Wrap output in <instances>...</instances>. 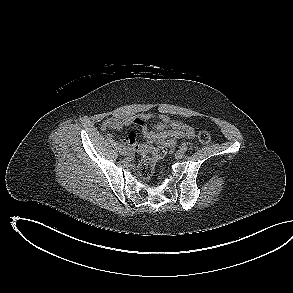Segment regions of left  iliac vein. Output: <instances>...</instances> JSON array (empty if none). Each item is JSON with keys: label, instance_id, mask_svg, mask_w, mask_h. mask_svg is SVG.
Listing matches in <instances>:
<instances>
[{"label": "left iliac vein", "instance_id": "left-iliac-vein-1", "mask_svg": "<svg viewBox=\"0 0 293 293\" xmlns=\"http://www.w3.org/2000/svg\"><path fill=\"white\" fill-rule=\"evenodd\" d=\"M184 156V152L182 150H178L175 154L176 159H182Z\"/></svg>", "mask_w": 293, "mask_h": 293}]
</instances>
